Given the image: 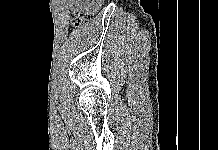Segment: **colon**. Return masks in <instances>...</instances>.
Here are the masks:
<instances>
[{"mask_svg": "<svg viewBox=\"0 0 218 150\" xmlns=\"http://www.w3.org/2000/svg\"><path fill=\"white\" fill-rule=\"evenodd\" d=\"M94 12H95L94 9H85V8L73 10L70 12L71 23L74 26H79L82 23L90 20Z\"/></svg>", "mask_w": 218, "mask_h": 150, "instance_id": "colon-1", "label": "colon"}]
</instances>
